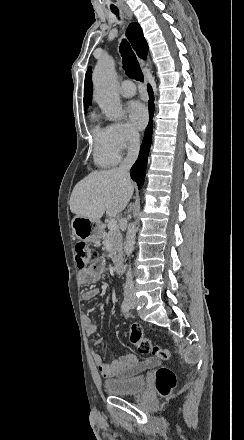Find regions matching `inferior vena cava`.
I'll use <instances>...</instances> for the list:
<instances>
[{
    "mask_svg": "<svg viewBox=\"0 0 244 440\" xmlns=\"http://www.w3.org/2000/svg\"><path fill=\"white\" fill-rule=\"evenodd\" d=\"M139 148H140V140H139V134H132L130 136V144L128 148V154L123 162L121 164L120 168H118L120 174H123L124 178L126 180H130V174L129 170L131 166H133L134 162L137 160V156L139 154ZM132 272L131 268H129L127 274H126V284L124 288V296H129V294H134L135 288H134V282L132 280Z\"/></svg>",
    "mask_w": 244,
    "mask_h": 440,
    "instance_id": "inferior-vena-cava-1",
    "label": "inferior vena cava"
}]
</instances>
